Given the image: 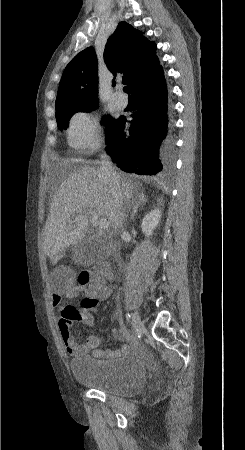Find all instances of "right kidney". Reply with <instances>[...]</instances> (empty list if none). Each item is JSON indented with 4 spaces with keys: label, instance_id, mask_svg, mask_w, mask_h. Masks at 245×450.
<instances>
[{
    "label": "right kidney",
    "instance_id": "ca27d5eb",
    "mask_svg": "<svg viewBox=\"0 0 245 450\" xmlns=\"http://www.w3.org/2000/svg\"><path fill=\"white\" fill-rule=\"evenodd\" d=\"M161 219V211L154 209L145 215L142 221V231L146 236H150L153 230L157 227Z\"/></svg>",
    "mask_w": 245,
    "mask_h": 450
}]
</instances>
